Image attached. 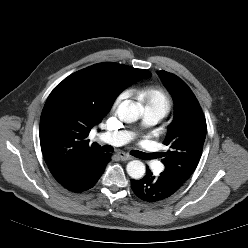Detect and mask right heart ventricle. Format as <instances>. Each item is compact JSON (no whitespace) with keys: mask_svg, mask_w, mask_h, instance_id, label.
Instances as JSON below:
<instances>
[{"mask_svg":"<svg viewBox=\"0 0 248 248\" xmlns=\"http://www.w3.org/2000/svg\"><path fill=\"white\" fill-rule=\"evenodd\" d=\"M135 94L143 103L144 108L162 110L167 114L172 106L169 95L159 87H143L135 90Z\"/></svg>","mask_w":248,"mask_h":248,"instance_id":"obj_1","label":"right heart ventricle"}]
</instances>
